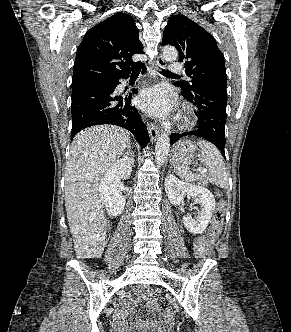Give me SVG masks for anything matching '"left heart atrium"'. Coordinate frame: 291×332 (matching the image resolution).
I'll use <instances>...</instances> for the list:
<instances>
[{"label": "left heart atrium", "instance_id": "1", "mask_svg": "<svg viewBox=\"0 0 291 332\" xmlns=\"http://www.w3.org/2000/svg\"><path fill=\"white\" fill-rule=\"evenodd\" d=\"M174 103V96L165 86H156L138 96V105L150 114L163 116Z\"/></svg>", "mask_w": 291, "mask_h": 332}]
</instances>
